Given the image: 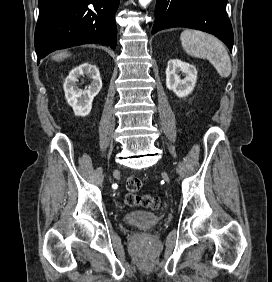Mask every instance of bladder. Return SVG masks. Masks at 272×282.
I'll use <instances>...</instances> for the list:
<instances>
[{
  "label": "bladder",
  "instance_id": "bladder-1",
  "mask_svg": "<svg viewBox=\"0 0 272 282\" xmlns=\"http://www.w3.org/2000/svg\"><path fill=\"white\" fill-rule=\"evenodd\" d=\"M123 220L129 225L151 228L160 222V217L146 211H132L124 215Z\"/></svg>",
  "mask_w": 272,
  "mask_h": 282
}]
</instances>
